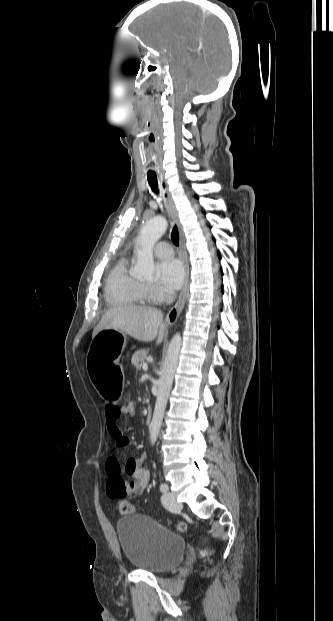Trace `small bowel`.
Listing matches in <instances>:
<instances>
[{"label": "small bowel", "mask_w": 333, "mask_h": 621, "mask_svg": "<svg viewBox=\"0 0 333 621\" xmlns=\"http://www.w3.org/2000/svg\"><path fill=\"white\" fill-rule=\"evenodd\" d=\"M106 427L109 436L115 440L118 447H125L130 444L129 439L124 435L120 419L123 415L122 408L116 404H108L104 410ZM143 456L131 457L121 465L117 458L109 457L106 462L108 480L106 484V494L110 499H123L129 496L139 495L146 489L150 474L142 466ZM131 477L130 481L125 480L122 475Z\"/></svg>", "instance_id": "1"}]
</instances>
